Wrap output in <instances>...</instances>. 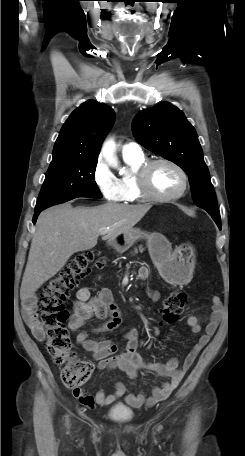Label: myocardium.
Wrapping results in <instances>:
<instances>
[{
	"mask_svg": "<svg viewBox=\"0 0 245 456\" xmlns=\"http://www.w3.org/2000/svg\"><path fill=\"white\" fill-rule=\"evenodd\" d=\"M158 164H167L174 168L181 177V188L178 192L168 196H162L155 193L152 189L150 182V175L153 168ZM136 182L142 196L150 201L154 202H170L175 201L181 198L188 187V177L184 169L178 165L176 162L167 159V158H157L152 160H147L143 163L136 172Z\"/></svg>",
	"mask_w": 245,
	"mask_h": 456,
	"instance_id": "f54148a6",
	"label": "myocardium"
}]
</instances>
